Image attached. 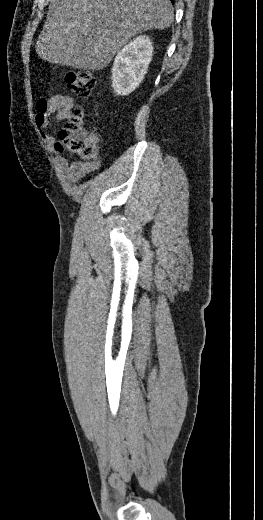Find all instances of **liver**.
I'll list each match as a JSON object with an SVG mask.
<instances>
[{
    "instance_id": "obj_1",
    "label": "liver",
    "mask_w": 263,
    "mask_h": 520,
    "mask_svg": "<svg viewBox=\"0 0 263 520\" xmlns=\"http://www.w3.org/2000/svg\"><path fill=\"white\" fill-rule=\"evenodd\" d=\"M173 18L169 0H51L35 49L53 64L100 70L131 38Z\"/></svg>"
}]
</instances>
